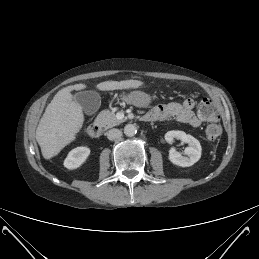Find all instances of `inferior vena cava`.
Wrapping results in <instances>:
<instances>
[{"label":"inferior vena cava","instance_id":"inferior-vena-cava-1","mask_svg":"<svg viewBox=\"0 0 259 259\" xmlns=\"http://www.w3.org/2000/svg\"><path fill=\"white\" fill-rule=\"evenodd\" d=\"M106 134L109 140H116L122 136V132L116 128L110 129Z\"/></svg>","mask_w":259,"mask_h":259}]
</instances>
